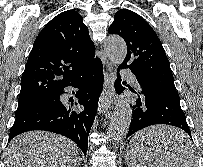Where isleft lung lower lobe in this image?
I'll list each match as a JSON object with an SVG mask.
<instances>
[{
    "mask_svg": "<svg viewBox=\"0 0 203 167\" xmlns=\"http://www.w3.org/2000/svg\"><path fill=\"white\" fill-rule=\"evenodd\" d=\"M118 85L121 87L119 82ZM130 90L134 93L136 100L130 105L133 114L126 138L140 129L155 124L179 127L191 137L177 91L162 90L154 85H140L137 90L132 88ZM178 147L183 150L190 147V138L188 137L185 142L179 143Z\"/></svg>",
    "mask_w": 203,
    "mask_h": 167,
    "instance_id": "0a47b994",
    "label": "left lung lower lobe"
}]
</instances>
